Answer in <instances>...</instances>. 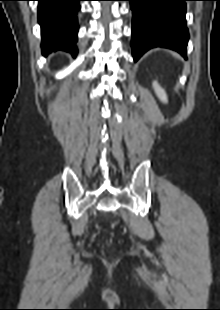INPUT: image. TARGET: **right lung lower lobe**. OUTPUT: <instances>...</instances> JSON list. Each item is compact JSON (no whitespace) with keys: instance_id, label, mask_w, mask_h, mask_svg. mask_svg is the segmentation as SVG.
<instances>
[{"instance_id":"right-lung-lower-lobe-1","label":"right lung lower lobe","mask_w":220,"mask_h":310,"mask_svg":"<svg viewBox=\"0 0 220 310\" xmlns=\"http://www.w3.org/2000/svg\"><path fill=\"white\" fill-rule=\"evenodd\" d=\"M38 22L41 25L42 53L64 50L74 57L78 33L77 14L83 0H37Z\"/></svg>"}]
</instances>
